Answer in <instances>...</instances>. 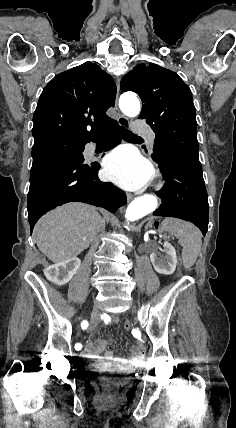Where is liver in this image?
Returning <instances> with one entry per match:
<instances>
[{
	"label": "liver",
	"mask_w": 236,
	"mask_h": 428,
	"mask_svg": "<svg viewBox=\"0 0 236 428\" xmlns=\"http://www.w3.org/2000/svg\"><path fill=\"white\" fill-rule=\"evenodd\" d=\"M104 228L96 208L71 202L42 216L34 230L40 252L58 264L81 254Z\"/></svg>",
	"instance_id": "liver-1"
}]
</instances>
